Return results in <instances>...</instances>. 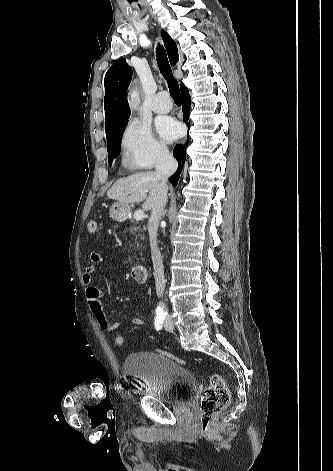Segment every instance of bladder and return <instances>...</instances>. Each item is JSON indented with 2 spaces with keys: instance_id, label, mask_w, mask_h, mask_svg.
<instances>
[{
  "instance_id": "1",
  "label": "bladder",
  "mask_w": 333,
  "mask_h": 471,
  "mask_svg": "<svg viewBox=\"0 0 333 471\" xmlns=\"http://www.w3.org/2000/svg\"><path fill=\"white\" fill-rule=\"evenodd\" d=\"M123 374L142 382V393L167 405H178L196 390L191 372L172 359L152 351L129 354L122 366Z\"/></svg>"
}]
</instances>
